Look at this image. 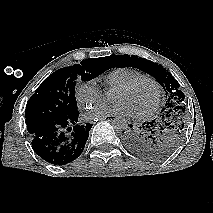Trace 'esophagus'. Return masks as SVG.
<instances>
[{"mask_svg":"<svg viewBox=\"0 0 213 213\" xmlns=\"http://www.w3.org/2000/svg\"><path fill=\"white\" fill-rule=\"evenodd\" d=\"M115 119H117V116H105V117L99 118V120H108V121H113Z\"/></svg>","mask_w":213,"mask_h":213,"instance_id":"obj_1","label":"esophagus"}]
</instances>
